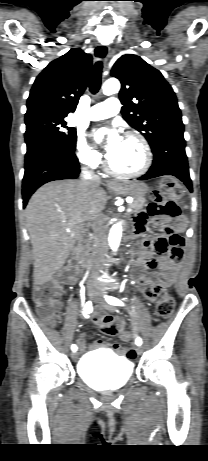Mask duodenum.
Returning <instances> with one entry per match:
<instances>
[{
  "mask_svg": "<svg viewBox=\"0 0 208 461\" xmlns=\"http://www.w3.org/2000/svg\"><path fill=\"white\" fill-rule=\"evenodd\" d=\"M79 257L84 268H86L93 256L91 241L86 234H83L79 241Z\"/></svg>",
  "mask_w": 208,
  "mask_h": 461,
  "instance_id": "obj_1",
  "label": "duodenum"
}]
</instances>
